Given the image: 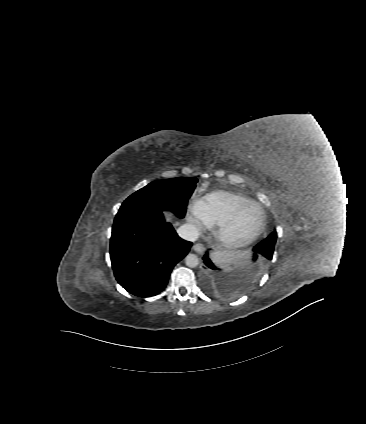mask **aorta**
<instances>
[{
	"label": "aorta",
	"instance_id": "1",
	"mask_svg": "<svg viewBox=\"0 0 366 424\" xmlns=\"http://www.w3.org/2000/svg\"><path fill=\"white\" fill-rule=\"evenodd\" d=\"M185 264L189 268H195L199 264V258L195 254H188L185 258Z\"/></svg>",
	"mask_w": 366,
	"mask_h": 424
}]
</instances>
